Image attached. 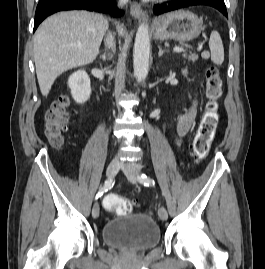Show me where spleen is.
<instances>
[{"label": "spleen", "instance_id": "obj_1", "mask_svg": "<svg viewBox=\"0 0 265 269\" xmlns=\"http://www.w3.org/2000/svg\"><path fill=\"white\" fill-rule=\"evenodd\" d=\"M211 51V61L216 65H221L224 61V48L222 39L217 31H212L209 39Z\"/></svg>", "mask_w": 265, "mask_h": 269}]
</instances>
